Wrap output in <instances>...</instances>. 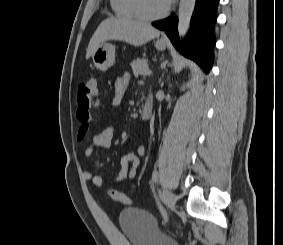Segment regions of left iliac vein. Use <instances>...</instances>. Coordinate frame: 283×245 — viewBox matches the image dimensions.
<instances>
[{"label":"left iliac vein","mask_w":283,"mask_h":245,"mask_svg":"<svg viewBox=\"0 0 283 245\" xmlns=\"http://www.w3.org/2000/svg\"><path fill=\"white\" fill-rule=\"evenodd\" d=\"M164 200H165V204L167 205V207L170 210H173L175 208V196L172 192L165 190L164 191Z\"/></svg>","instance_id":"1"}]
</instances>
